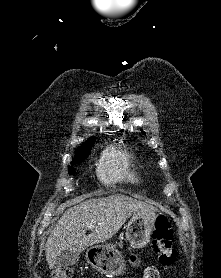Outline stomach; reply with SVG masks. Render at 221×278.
Returning a JSON list of instances; mask_svg holds the SVG:
<instances>
[{"label": "stomach", "instance_id": "1", "mask_svg": "<svg viewBox=\"0 0 221 278\" xmlns=\"http://www.w3.org/2000/svg\"><path fill=\"white\" fill-rule=\"evenodd\" d=\"M156 215L154 212L135 214L126 226V239L134 248H143L150 242L155 227ZM86 258L96 270L108 275H120L122 272L134 274L130 267H125L121 253L110 245H96L91 247Z\"/></svg>", "mask_w": 221, "mask_h": 278}]
</instances>
